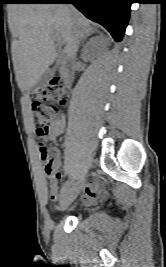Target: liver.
<instances>
[{
  "instance_id": "1",
  "label": "liver",
  "mask_w": 166,
  "mask_h": 267,
  "mask_svg": "<svg viewBox=\"0 0 166 267\" xmlns=\"http://www.w3.org/2000/svg\"><path fill=\"white\" fill-rule=\"evenodd\" d=\"M89 20L72 5L22 4L17 7L13 50L18 86L30 90L56 59L52 33L65 43L64 53L73 58L79 39L90 34Z\"/></svg>"
}]
</instances>
